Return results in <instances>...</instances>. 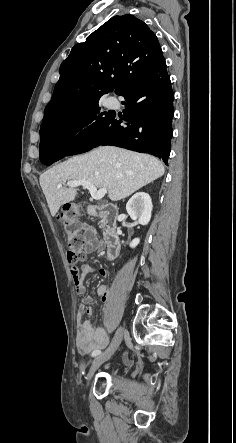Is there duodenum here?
<instances>
[{
    "mask_svg": "<svg viewBox=\"0 0 236 443\" xmlns=\"http://www.w3.org/2000/svg\"><path fill=\"white\" fill-rule=\"evenodd\" d=\"M88 214L100 217L104 220V241L107 244V257L109 260L115 259L119 254L120 236L117 231L116 218L119 215V209L112 205L87 206Z\"/></svg>",
    "mask_w": 236,
    "mask_h": 443,
    "instance_id": "duodenum-1",
    "label": "duodenum"
}]
</instances>
